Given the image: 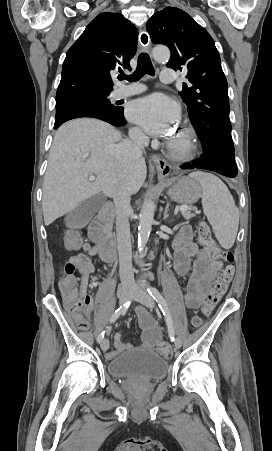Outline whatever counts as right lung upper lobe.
Returning a JSON list of instances; mask_svg holds the SVG:
<instances>
[{"label": "right lung upper lobe", "mask_w": 272, "mask_h": 451, "mask_svg": "<svg viewBox=\"0 0 272 451\" xmlns=\"http://www.w3.org/2000/svg\"><path fill=\"white\" fill-rule=\"evenodd\" d=\"M137 40L138 30L122 14H99L68 50L56 99L110 94V72L130 69Z\"/></svg>", "instance_id": "obj_1"}]
</instances>
